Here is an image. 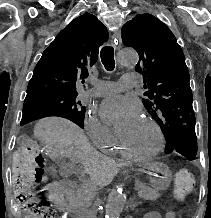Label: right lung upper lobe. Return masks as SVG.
Wrapping results in <instances>:
<instances>
[{
	"instance_id": "obj_1",
	"label": "right lung upper lobe",
	"mask_w": 211,
	"mask_h": 218,
	"mask_svg": "<svg viewBox=\"0 0 211 218\" xmlns=\"http://www.w3.org/2000/svg\"><path fill=\"white\" fill-rule=\"evenodd\" d=\"M106 27L92 14L75 18L43 52L28 84L25 102L58 95L78 94L76 81L88 77L107 41Z\"/></svg>"
}]
</instances>
